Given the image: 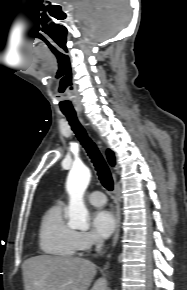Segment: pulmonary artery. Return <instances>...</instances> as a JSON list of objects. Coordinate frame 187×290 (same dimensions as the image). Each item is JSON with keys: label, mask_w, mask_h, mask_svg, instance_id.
Segmentation results:
<instances>
[{"label": "pulmonary artery", "mask_w": 187, "mask_h": 290, "mask_svg": "<svg viewBox=\"0 0 187 290\" xmlns=\"http://www.w3.org/2000/svg\"><path fill=\"white\" fill-rule=\"evenodd\" d=\"M88 200L92 205L103 206L106 203L105 195L100 191H94L88 196Z\"/></svg>", "instance_id": "pulmonary-artery-1"}]
</instances>
